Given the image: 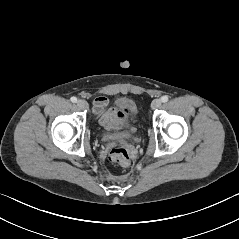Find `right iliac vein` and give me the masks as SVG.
Segmentation results:
<instances>
[{
	"label": "right iliac vein",
	"instance_id": "right-iliac-vein-1",
	"mask_svg": "<svg viewBox=\"0 0 239 239\" xmlns=\"http://www.w3.org/2000/svg\"><path fill=\"white\" fill-rule=\"evenodd\" d=\"M77 105L80 109H87L88 108V103L85 100H78Z\"/></svg>",
	"mask_w": 239,
	"mask_h": 239
}]
</instances>
